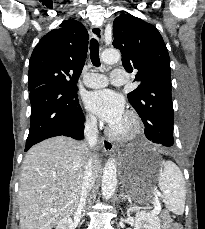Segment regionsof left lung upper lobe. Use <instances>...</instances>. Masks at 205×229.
<instances>
[{
    "label": "left lung upper lobe",
    "mask_w": 205,
    "mask_h": 229,
    "mask_svg": "<svg viewBox=\"0 0 205 229\" xmlns=\"http://www.w3.org/2000/svg\"><path fill=\"white\" fill-rule=\"evenodd\" d=\"M113 34L112 44L122 53L123 67L136 73L135 81L140 83L127 96L146 127L145 134L153 132V126H160L170 136L161 144L172 146L170 59L162 36L155 26L130 14H121L114 20Z\"/></svg>",
    "instance_id": "1"
}]
</instances>
